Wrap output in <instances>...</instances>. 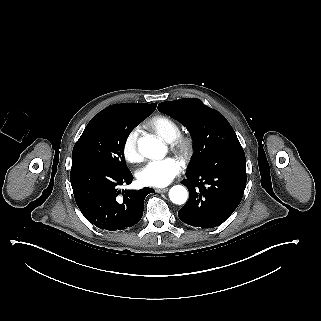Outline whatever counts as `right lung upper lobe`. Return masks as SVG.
<instances>
[{
	"label": "right lung upper lobe",
	"mask_w": 321,
	"mask_h": 321,
	"mask_svg": "<svg viewBox=\"0 0 321 321\" xmlns=\"http://www.w3.org/2000/svg\"><path fill=\"white\" fill-rule=\"evenodd\" d=\"M156 104L124 103L115 104L103 110L116 120L141 122L154 112Z\"/></svg>",
	"instance_id": "obj_1"
}]
</instances>
